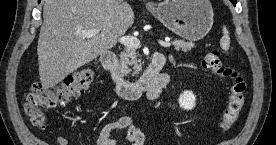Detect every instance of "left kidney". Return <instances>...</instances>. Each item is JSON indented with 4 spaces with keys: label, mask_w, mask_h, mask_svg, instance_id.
Masks as SVG:
<instances>
[{
    "label": "left kidney",
    "mask_w": 276,
    "mask_h": 145,
    "mask_svg": "<svg viewBox=\"0 0 276 145\" xmlns=\"http://www.w3.org/2000/svg\"><path fill=\"white\" fill-rule=\"evenodd\" d=\"M178 101L184 110H192L195 107L196 96L191 91H184Z\"/></svg>",
    "instance_id": "left-kidney-1"
}]
</instances>
